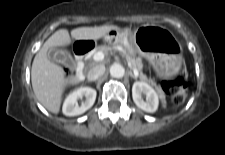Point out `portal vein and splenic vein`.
<instances>
[{"instance_id": "1", "label": "portal vein and splenic vein", "mask_w": 225, "mask_h": 155, "mask_svg": "<svg viewBox=\"0 0 225 155\" xmlns=\"http://www.w3.org/2000/svg\"><path fill=\"white\" fill-rule=\"evenodd\" d=\"M93 59L94 61H102L104 59V53L101 52V51H98L96 52L94 55H93ZM133 72L136 76L139 75V72L137 69H133Z\"/></svg>"}]
</instances>
